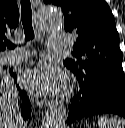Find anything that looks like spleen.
<instances>
[{"instance_id":"spleen-1","label":"spleen","mask_w":125,"mask_h":128,"mask_svg":"<svg viewBox=\"0 0 125 128\" xmlns=\"http://www.w3.org/2000/svg\"><path fill=\"white\" fill-rule=\"evenodd\" d=\"M99 128H125V120L116 117L102 116L98 121Z\"/></svg>"}]
</instances>
